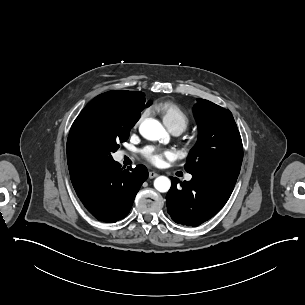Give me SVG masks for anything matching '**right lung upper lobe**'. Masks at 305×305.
Masks as SVG:
<instances>
[{"instance_id": "1", "label": "right lung upper lobe", "mask_w": 305, "mask_h": 305, "mask_svg": "<svg viewBox=\"0 0 305 305\" xmlns=\"http://www.w3.org/2000/svg\"><path fill=\"white\" fill-rule=\"evenodd\" d=\"M146 107L143 92L109 91L95 97L74 121L67 139V162L70 174L88 167L83 159L78 132L86 116L107 123L117 119L139 120Z\"/></svg>"}]
</instances>
